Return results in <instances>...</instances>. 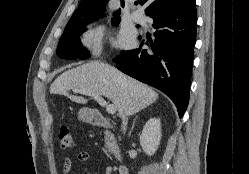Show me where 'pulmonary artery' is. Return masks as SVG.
<instances>
[{
    "label": "pulmonary artery",
    "mask_w": 249,
    "mask_h": 174,
    "mask_svg": "<svg viewBox=\"0 0 249 174\" xmlns=\"http://www.w3.org/2000/svg\"><path fill=\"white\" fill-rule=\"evenodd\" d=\"M131 18L134 22H137V23H144L145 22V17L137 11H133L131 13Z\"/></svg>",
    "instance_id": "pulmonary-artery-1"
}]
</instances>
